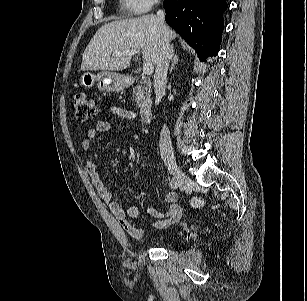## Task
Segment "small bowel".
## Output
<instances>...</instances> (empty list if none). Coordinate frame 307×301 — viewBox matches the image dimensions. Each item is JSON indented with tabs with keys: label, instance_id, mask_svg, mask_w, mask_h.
Here are the masks:
<instances>
[{
	"label": "small bowel",
	"instance_id": "obj_1",
	"mask_svg": "<svg viewBox=\"0 0 307 301\" xmlns=\"http://www.w3.org/2000/svg\"><path fill=\"white\" fill-rule=\"evenodd\" d=\"M111 114L114 117L127 119L132 121L138 120V113L119 106L111 107ZM111 129V124L106 120H98L94 128L87 131L86 137L81 142V147L84 151H90L94 140L100 133H107ZM85 170L92 184L98 191L100 197L107 204L110 212L115 217L122 229L134 239H141L144 235L142 228H137L133 225V221L139 217V209L137 206L130 205L126 209L122 208L116 201L113 200L110 189L102 180L97 171L96 165L91 158L86 160ZM176 192H168L164 195L163 200L169 205L166 211H161L153 206H149L147 211L150 215L157 217L158 220L153 222L156 228H163L172 223L177 222L181 217V209L176 205Z\"/></svg>",
	"mask_w": 307,
	"mask_h": 301
}]
</instances>
